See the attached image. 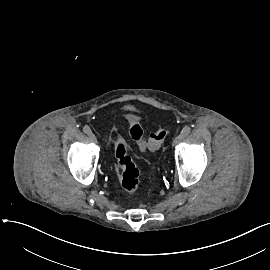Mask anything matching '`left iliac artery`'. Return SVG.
Returning <instances> with one entry per match:
<instances>
[{
    "instance_id": "1",
    "label": "left iliac artery",
    "mask_w": 270,
    "mask_h": 270,
    "mask_svg": "<svg viewBox=\"0 0 270 270\" xmlns=\"http://www.w3.org/2000/svg\"><path fill=\"white\" fill-rule=\"evenodd\" d=\"M191 132V128L189 126H185L182 131H181V134L186 137L190 134Z\"/></svg>"
}]
</instances>
